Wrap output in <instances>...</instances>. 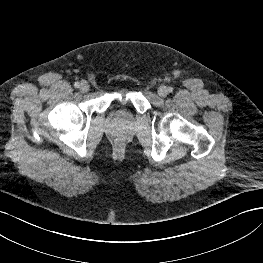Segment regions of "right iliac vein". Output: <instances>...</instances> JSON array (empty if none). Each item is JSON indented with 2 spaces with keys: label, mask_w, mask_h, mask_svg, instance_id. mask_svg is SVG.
Segmentation results:
<instances>
[{
  "label": "right iliac vein",
  "mask_w": 263,
  "mask_h": 263,
  "mask_svg": "<svg viewBox=\"0 0 263 263\" xmlns=\"http://www.w3.org/2000/svg\"><path fill=\"white\" fill-rule=\"evenodd\" d=\"M89 88H90V86L86 81L81 82V85H80L81 92H83V93L88 92Z\"/></svg>",
  "instance_id": "1"
}]
</instances>
